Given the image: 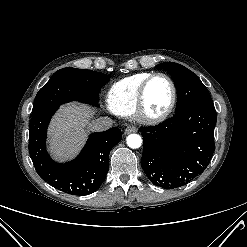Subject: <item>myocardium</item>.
I'll use <instances>...</instances> for the list:
<instances>
[{
	"instance_id": "f54148a6",
	"label": "myocardium",
	"mask_w": 247,
	"mask_h": 247,
	"mask_svg": "<svg viewBox=\"0 0 247 247\" xmlns=\"http://www.w3.org/2000/svg\"><path fill=\"white\" fill-rule=\"evenodd\" d=\"M157 77H163L168 80V82L171 85V89H172V98H171V102L169 106L164 112L158 115H150L146 112V109H145L146 92H147V88L150 82ZM176 102H177V87H176L174 80L165 73H161V72L152 73L149 77H147L144 80V82L142 83L139 89L137 100H136V106L134 110V115L138 121L144 124L155 125V124L163 122L170 116V114L173 112L175 108Z\"/></svg>"
}]
</instances>
